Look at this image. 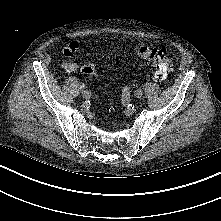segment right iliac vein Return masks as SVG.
<instances>
[{
  "instance_id": "1",
  "label": "right iliac vein",
  "mask_w": 221,
  "mask_h": 221,
  "mask_svg": "<svg viewBox=\"0 0 221 221\" xmlns=\"http://www.w3.org/2000/svg\"><path fill=\"white\" fill-rule=\"evenodd\" d=\"M80 89L82 91L83 96L85 97L86 90H84V85L83 84H80Z\"/></svg>"
}]
</instances>
